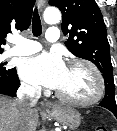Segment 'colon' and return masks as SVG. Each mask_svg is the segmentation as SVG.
<instances>
[{
    "label": "colon",
    "mask_w": 117,
    "mask_h": 131,
    "mask_svg": "<svg viewBox=\"0 0 117 131\" xmlns=\"http://www.w3.org/2000/svg\"><path fill=\"white\" fill-rule=\"evenodd\" d=\"M95 131H108V129L104 126H98Z\"/></svg>",
    "instance_id": "obj_1"
}]
</instances>
